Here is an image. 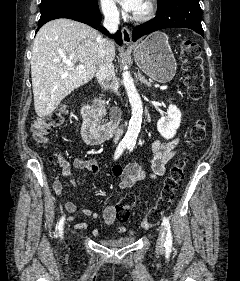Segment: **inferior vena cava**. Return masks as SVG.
<instances>
[{
	"instance_id": "1",
	"label": "inferior vena cava",
	"mask_w": 240,
	"mask_h": 281,
	"mask_svg": "<svg viewBox=\"0 0 240 281\" xmlns=\"http://www.w3.org/2000/svg\"><path fill=\"white\" fill-rule=\"evenodd\" d=\"M102 11L104 14V27L110 33L116 32L119 25V13L117 7L114 4L107 5L102 8ZM109 43H111V41L103 39L102 46L97 54L96 77L105 90L113 88L111 81L114 80V66L109 59V50L107 48ZM122 135L123 127L117 128L114 142L117 143Z\"/></svg>"
}]
</instances>
